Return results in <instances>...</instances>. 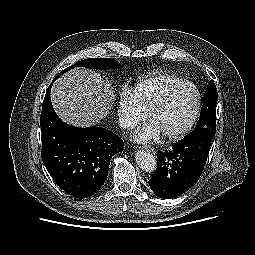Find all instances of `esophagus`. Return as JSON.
<instances>
[{
    "label": "esophagus",
    "mask_w": 255,
    "mask_h": 255,
    "mask_svg": "<svg viewBox=\"0 0 255 255\" xmlns=\"http://www.w3.org/2000/svg\"><path fill=\"white\" fill-rule=\"evenodd\" d=\"M147 151L151 152V153H154L155 154V149L152 148V147H144Z\"/></svg>",
    "instance_id": "esophagus-1"
}]
</instances>
